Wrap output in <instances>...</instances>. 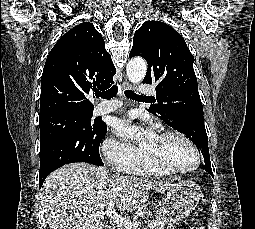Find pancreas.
I'll use <instances>...</instances> for the list:
<instances>
[{
  "instance_id": "pancreas-1",
  "label": "pancreas",
  "mask_w": 255,
  "mask_h": 229,
  "mask_svg": "<svg viewBox=\"0 0 255 229\" xmlns=\"http://www.w3.org/2000/svg\"><path fill=\"white\" fill-rule=\"evenodd\" d=\"M156 227L154 229H165V225L161 223H155ZM121 229H127L125 226H123Z\"/></svg>"
}]
</instances>
